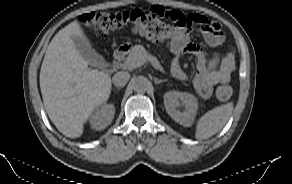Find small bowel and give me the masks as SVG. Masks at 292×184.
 I'll return each mask as SVG.
<instances>
[{"label": "small bowel", "instance_id": "obj_1", "mask_svg": "<svg viewBox=\"0 0 292 184\" xmlns=\"http://www.w3.org/2000/svg\"><path fill=\"white\" fill-rule=\"evenodd\" d=\"M208 45L217 47L224 42V34L218 22L200 14L190 15ZM169 50L173 54L171 72L179 79H186L181 60L185 55H192L196 61V72L193 76V84L196 90L205 98L211 96L213 87L218 83H228L236 67V59L233 51H227L223 55L215 53L210 59L200 45L190 43L187 32H179L169 43Z\"/></svg>", "mask_w": 292, "mask_h": 184}]
</instances>
